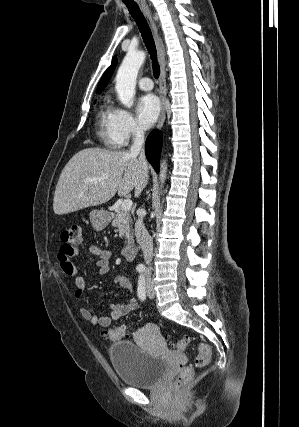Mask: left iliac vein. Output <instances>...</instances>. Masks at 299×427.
<instances>
[{
  "label": "left iliac vein",
  "instance_id": "obj_1",
  "mask_svg": "<svg viewBox=\"0 0 299 427\" xmlns=\"http://www.w3.org/2000/svg\"><path fill=\"white\" fill-rule=\"evenodd\" d=\"M146 294L151 299L155 297V291L153 289V284L151 280H148L146 282Z\"/></svg>",
  "mask_w": 299,
  "mask_h": 427
}]
</instances>
